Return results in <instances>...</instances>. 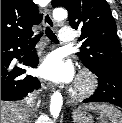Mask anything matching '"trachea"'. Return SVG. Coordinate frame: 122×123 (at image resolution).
<instances>
[{
	"label": "trachea",
	"mask_w": 122,
	"mask_h": 123,
	"mask_svg": "<svg viewBox=\"0 0 122 123\" xmlns=\"http://www.w3.org/2000/svg\"><path fill=\"white\" fill-rule=\"evenodd\" d=\"M45 33H46V36H47L51 41H53V42H55V43H58V39H57L56 35L54 34V32H53L49 27H46ZM41 35H42V33L36 35V36L31 40V43H30V44H31V45H35V44L39 41Z\"/></svg>",
	"instance_id": "1"
}]
</instances>
